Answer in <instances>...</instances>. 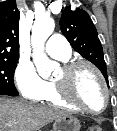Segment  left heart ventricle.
Here are the masks:
<instances>
[{
  "instance_id": "obj_1",
  "label": "left heart ventricle",
  "mask_w": 117,
  "mask_h": 131,
  "mask_svg": "<svg viewBox=\"0 0 117 131\" xmlns=\"http://www.w3.org/2000/svg\"><path fill=\"white\" fill-rule=\"evenodd\" d=\"M62 76L59 71L55 79ZM71 89L74 96L91 110L98 111L103 107L104 94L98 78L88 68L76 70L71 79Z\"/></svg>"
}]
</instances>
